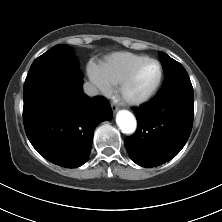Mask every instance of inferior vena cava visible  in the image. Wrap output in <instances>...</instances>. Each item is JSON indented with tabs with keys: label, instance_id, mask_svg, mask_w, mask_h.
<instances>
[{
	"label": "inferior vena cava",
	"instance_id": "602c4592",
	"mask_svg": "<svg viewBox=\"0 0 222 222\" xmlns=\"http://www.w3.org/2000/svg\"><path fill=\"white\" fill-rule=\"evenodd\" d=\"M84 92L88 96H96L98 95V89L89 82H85L83 85Z\"/></svg>",
	"mask_w": 222,
	"mask_h": 222
}]
</instances>
